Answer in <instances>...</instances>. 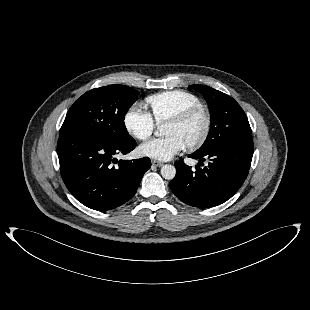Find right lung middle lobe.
<instances>
[{"instance_id":"1","label":"right lung middle lobe","mask_w":310,"mask_h":310,"mask_svg":"<svg viewBox=\"0 0 310 310\" xmlns=\"http://www.w3.org/2000/svg\"><path fill=\"white\" fill-rule=\"evenodd\" d=\"M138 95V91L124 85H109L86 92L68 111L59 135H89L113 142L131 139L124 118Z\"/></svg>"}]
</instances>
